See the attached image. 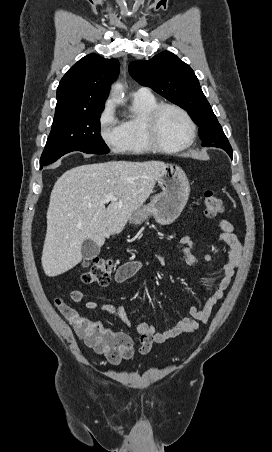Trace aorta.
Segmentation results:
<instances>
[{"mask_svg": "<svg viewBox=\"0 0 272 452\" xmlns=\"http://www.w3.org/2000/svg\"><path fill=\"white\" fill-rule=\"evenodd\" d=\"M121 86L119 84L114 85L113 87V101L116 103H123L122 98L120 97Z\"/></svg>", "mask_w": 272, "mask_h": 452, "instance_id": "762f6f07", "label": "aorta"}]
</instances>
